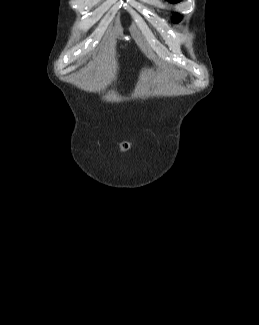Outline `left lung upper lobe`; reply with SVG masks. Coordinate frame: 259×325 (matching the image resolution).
<instances>
[{
    "mask_svg": "<svg viewBox=\"0 0 259 325\" xmlns=\"http://www.w3.org/2000/svg\"><path fill=\"white\" fill-rule=\"evenodd\" d=\"M181 0H169L171 3L180 2ZM182 17L179 15H174V22H178Z\"/></svg>",
    "mask_w": 259,
    "mask_h": 325,
    "instance_id": "5c2ea615",
    "label": "left lung upper lobe"
}]
</instances>
